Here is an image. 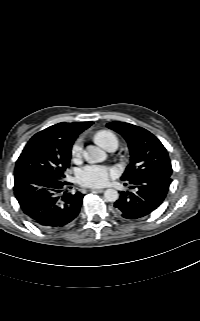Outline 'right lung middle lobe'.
<instances>
[{"instance_id": "obj_1", "label": "right lung middle lobe", "mask_w": 200, "mask_h": 321, "mask_svg": "<svg viewBox=\"0 0 200 321\" xmlns=\"http://www.w3.org/2000/svg\"><path fill=\"white\" fill-rule=\"evenodd\" d=\"M71 147L53 141L44 130L39 132L29 140L16 161L15 175L42 172L64 181L70 166Z\"/></svg>"}]
</instances>
